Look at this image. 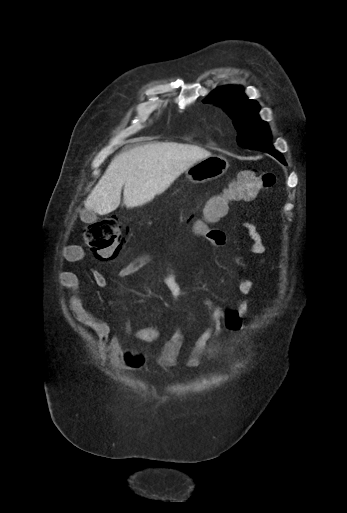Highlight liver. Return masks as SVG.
Returning a JSON list of instances; mask_svg holds the SVG:
<instances>
[{
    "label": "liver",
    "mask_w": 347,
    "mask_h": 513,
    "mask_svg": "<svg viewBox=\"0 0 347 513\" xmlns=\"http://www.w3.org/2000/svg\"><path fill=\"white\" fill-rule=\"evenodd\" d=\"M210 155L204 148L175 142L146 144L120 153L110 162L80 213L105 215L116 210L123 187L126 207L141 206L163 192L191 165Z\"/></svg>",
    "instance_id": "liver-1"
}]
</instances>
